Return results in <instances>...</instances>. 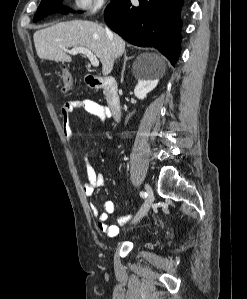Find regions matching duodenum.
<instances>
[{
  "instance_id": "410a0bca",
  "label": "duodenum",
  "mask_w": 247,
  "mask_h": 299,
  "mask_svg": "<svg viewBox=\"0 0 247 299\" xmlns=\"http://www.w3.org/2000/svg\"><path fill=\"white\" fill-rule=\"evenodd\" d=\"M86 82L91 88L102 89L104 91L111 114L115 120H118L121 114V100L115 79L88 75Z\"/></svg>"
}]
</instances>
